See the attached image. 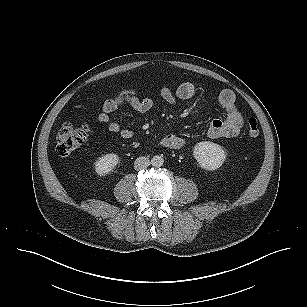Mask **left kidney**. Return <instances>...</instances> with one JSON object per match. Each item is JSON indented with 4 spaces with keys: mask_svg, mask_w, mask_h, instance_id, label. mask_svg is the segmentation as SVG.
I'll return each instance as SVG.
<instances>
[{
    "mask_svg": "<svg viewBox=\"0 0 307 307\" xmlns=\"http://www.w3.org/2000/svg\"><path fill=\"white\" fill-rule=\"evenodd\" d=\"M193 156L201 168L205 170H216L226 160L225 150L218 144L204 141L194 146Z\"/></svg>",
    "mask_w": 307,
    "mask_h": 307,
    "instance_id": "obj_1",
    "label": "left kidney"
}]
</instances>
